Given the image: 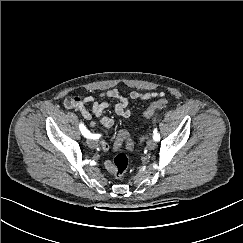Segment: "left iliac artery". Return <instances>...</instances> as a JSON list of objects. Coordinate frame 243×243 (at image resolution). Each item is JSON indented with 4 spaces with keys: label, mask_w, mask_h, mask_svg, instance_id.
<instances>
[{
    "label": "left iliac artery",
    "mask_w": 243,
    "mask_h": 243,
    "mask_svg": "<svg viewBox=\"0 0 243 243\" xmlns=\"http://www.w3.org/2000/svg\"><path fill=\"white\" fill-rule=\"evenodd\" d=\"M153 133H154V134H153V139H154L155 141H159V140H160V134H159L156 130H154Z\"/></svg>",
    "instance_id": "44dca946"
}]
</instances>
